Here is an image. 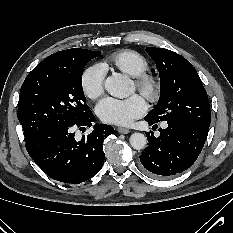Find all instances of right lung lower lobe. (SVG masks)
I'll return each mask as SVG.
<instances>
[{"instance_id": "1", "label": "right lung lower lobe", "mask_w": 233, "mask_h": 233, "mask_svg": "<svg viewBox=\"0 0 233 233\" xmlns=\"http://www.w3.org/2000/svg\"><path fill=\"white\" fill-rule=\"evenodd\" d=\"M95 117L92 112L78 122L47 129L26 141V149L35 163L51 178L64 183H82L96 175L103 166L104 139L114 134L107 124L97 123L93 131L75 138L73 130L91 127Z\"/></svg>"}]
</instances>
